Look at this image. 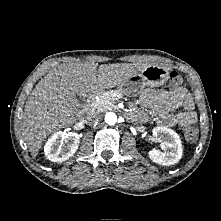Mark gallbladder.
<instances>
[{
  "mask_svg": "<svg viewBox=\"0 0 221 221\" xmlns=\"http://www.w3.org/2000/svg\"><path fill=\"white\" fill-rule=\"evenodd\" d=\"M79 102H80V104H83V101H82V99H81V98H80Z\"/></svg>",
  "mask_w": 221,
  "mask_h": 221,
  "instance_id": "obj_1",
  "label": "gallbladder"
}]
</instances>
